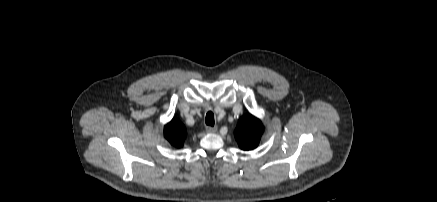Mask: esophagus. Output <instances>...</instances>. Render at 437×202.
<instances>
[{"label": "esophagus", "instance_id": "1", "mask_svg": "<svg viewBox=\"0 0 437 202\" xmlns=\"http://www.w3.org/2000/svg\"><path fill=\"white\" fill-rule=\"evenodd\" d=\"M206 131L208 132V133H214V132H216L217 131V127L216 126H207L206 127Z\"/></svg>", "mask_w": 437, "mask_h": 202}]
</instances>
